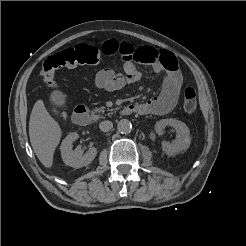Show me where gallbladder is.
Wrapping results in <instances>:
<instances>
[{
  "instance_id": "bac80fb5",
  "label": "gallbladder",
  "mask_w": 246,
  "mask_h": 246,
  "mask_svg": "<svg viewBox=\"0 0 246 246\" xmlns=\"http://www.w3.org/2000/svg\"><path fill=\"white\" fill-rule=\"evenodd\" d=\"M50 99L58 107L64 106L66 103L64 94L59 90L52 92Z\"/></svg>"
}]
</instances>
